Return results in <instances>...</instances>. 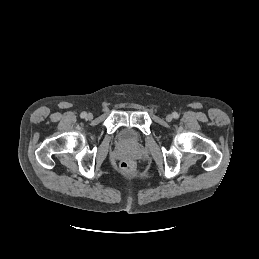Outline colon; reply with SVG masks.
Segmentation results:
<instances>
[{"mask_svg":"<svg viewBox=\"0 0 259 259\" xmlns=\"http://www.w3.org/2000/svg\"><path fill=\"white\" fill-rule=\"evenodd\" d=\"M134 168L133 162L130 160H123L120 163V169L124 172V173H130Z\"/></svg>","mask_w":259,"mask_h":259,"instance_id":"obj_1","label":"colon"}]
</instances>
